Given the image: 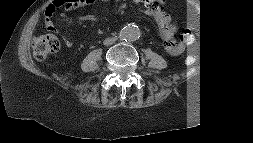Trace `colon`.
Here are the masks:
<instances>
[{
    "label": "colon",
    "instance_id": "1",
    "mask_svg": "<svg viewBox=\"0 0 253 143\" xmlns=\"http://www.w3.org/2000/svg\"><path fill=\"white\" fill-rule=\"evenodd\" d=\"M160 0H142V3L155 7L159 4ZM92 2V0H52L48 5L46 11L53 14L58 8H75L87 3ZM193 32L190 29H186L183 33V39L185 43L189 44L192 39ZM60 48V42L58 38L52 33H46L38 35L33 40V55L37 60H43L51 54L56 53ZM192 58L188 55L186 58V63H190Z\"/></svg>",
    "mask_w": 253,
    "mask_h": 143
}]
</instances>
